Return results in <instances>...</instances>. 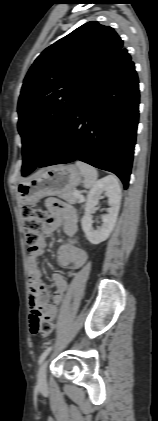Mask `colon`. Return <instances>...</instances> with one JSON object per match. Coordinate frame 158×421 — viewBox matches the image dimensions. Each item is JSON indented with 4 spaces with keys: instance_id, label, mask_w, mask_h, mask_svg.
<instances>
[{
    "instance_id": "obj_1",
    "label": "colon",
    "mask_w": 158,
    "mask_h": 421,
    "mask_svg": "<svg viewBox=\"0 0 158 421\" xmlns=\"http://www.w3.org/2000/svg\"><path fill=\"white\" fill-rule=\"evenodd\" d=\"M22 217L25 227L26 243L31 252L36 251L42 241V231L45 227V212L40 208L25 206L22 209ZM53 326L49 321H43L35 329V333L48 335Z\"/></svg>"
}]
</instances>
